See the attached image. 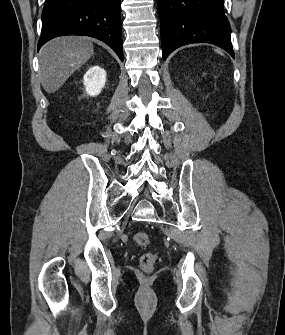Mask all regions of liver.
Wrapping results in <instances>:
<instances>
[{
	"instance_id": "liver-1",
	"label": "liver",
	"mask_w": 285,
	"mask_h": 335,
	"mask_svg": "<svg viewBox=\"0 0 285 335\" xmlns=\"http://www.w3.org/2000/svg\"><path fill=\"white\" fill-rule=\"evenodd\" d=\"M93 54L90 38L63 36L56 38L39 52L41 82L45 92H57L66 80L88 62Z\"/></svg>"
}]
</instances>
